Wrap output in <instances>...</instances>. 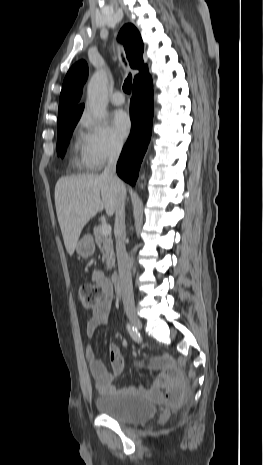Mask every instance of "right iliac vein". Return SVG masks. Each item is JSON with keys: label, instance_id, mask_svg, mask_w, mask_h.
Here are the masks:
<instances>
[{"label": "right iliac vein", "instance_id": "63e3f726", "mask_svg": "<svg viewBox=\"0 0 263 465\" xmlns=\"http://www.w3.org/2000/svg\"><path fill=\"white\" fill-rule=\"evenodd\" d=\"M127 316L131 324L138 330L142 328V323L138 315L136 314L135 310L129 309L127 310Z\"/></svg>", "mask_w": 263, "mask_h": 465}]
</instances>
